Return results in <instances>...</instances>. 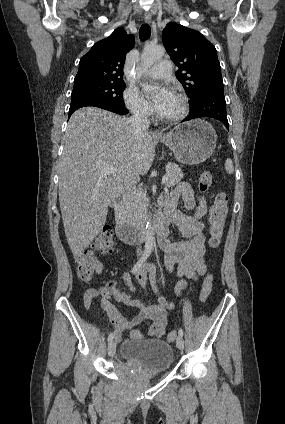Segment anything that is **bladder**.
<instances>
[{"label":"bladder","mask_w":285,"mask_h":424,"mask_svg":"<svg viewBox=\"0 0 285 424\" xmlns=\"http://www.w3.org/2000/svg\"><path fill=\"white\" fill-rule=\"evenodd\" d=\"M120 354L125 363L134 364L152 375L166 373L174 361L172 346L159 339L125 341L120 347Z\"/></svg>","instance_id":"1"}]
</instances>
